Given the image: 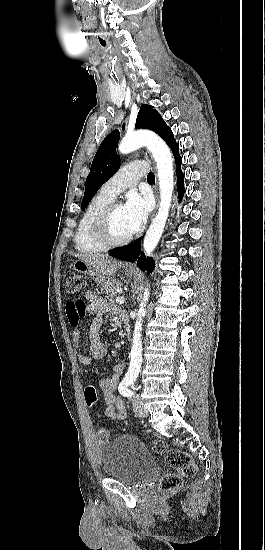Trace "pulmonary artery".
<instances>
[{"label": "pulmonary artery", "mask_w": 265, "mask_h": 550, "mask_svg": "<svg viewBox=\"0 0 265 550\" xmlns=\"http://www.w3.org/2000/svg\"><path fill=\"white\" fill-rule=\"evenodd\" d=\"M147 171V162L134 161L121 167V169L102 186V191L115 198L126 188L133 187Z\"/></svg>", "instance_id": "pulmonary-artery-1"}]
</instances>
